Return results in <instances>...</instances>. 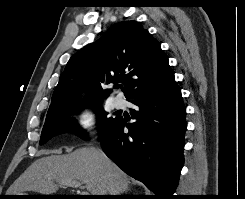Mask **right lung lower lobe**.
I'll return each mask as SVG.
<instances>
[{
	"label": "right lung lower lobe",
	"mask_w": 245,
	"mask_h": 199,
	"mask_svg": "<svg viewBox=\"0 0 245 199\" xmlns=\"http://www.w3.org/2000/svg\"><path fill=\"white\" fill-rule=\"evenodd\" d=\"M129 101L136 105L131 110L135 122L126 124L125 119L116 117L100 133L103 151L124 172L155 192L154 199H174L187 127L178 84L174 80L159 91Z\"/></svg>",
	"instance_id": "obj_1"
}]
</instances>
